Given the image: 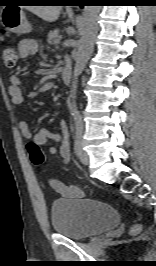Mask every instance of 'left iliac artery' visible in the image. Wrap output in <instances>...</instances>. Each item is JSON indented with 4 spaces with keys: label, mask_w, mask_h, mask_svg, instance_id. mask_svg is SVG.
I'll list each match as a JSON object with an SVG mask.
<instances>
[{
    "label": "left iliac artery",
    "mask_w": 156,
    "mask_h": 266,
    "mask_svg": "<svg viewBox=\"0 0 156 266\" xmlns=\"http://www.w3.org/2000/svg\"><path fill=\"white\" fill-rule=\"evenodd\" d=\"M74 121H75V143H74V150L75 153L78 154L79 149L81 147L82 142V133H83V122L82 117L80 114L74 115Z\"/></svg>",
    "instance_id": "obj_1"
}]
</instances>
